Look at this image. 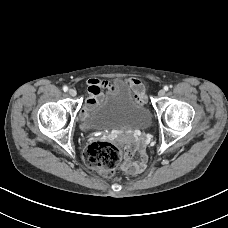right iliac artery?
I'll return each mask as SVG.
<instances>
[{
  "label": "right iliac artery",
  "instance_id": "obj_1",
  "mask_svg": "<svg viewBox=\"0 0 228 228\" xmlns=\"http://www.w3.org/2000/svg\"><path fill=\"white\" fill-rule=\"evenodd\" d=\"M63 91H64V92H67V91H68V87H67V86H64V87H63Z\"/></svg>",
  "mask_w": 228,
  "mask_h": 228
}]
</instances>
